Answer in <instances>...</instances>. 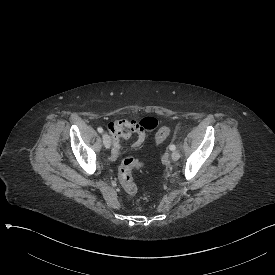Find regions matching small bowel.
<instances>
[{"instance_id": "c3829d8e", "label": "small bowel", "mask_w": 275, "mask_h": 275, "mask_svg": "<svg viewBox=\"0 0 275 275\" xmlns=\"http://www.w3.org/2000/svg\"><path fill=\"white\" fill-rule=\"evenodd\" d=\"M162 125L159 117H142L139 124L134 119L116 118L107 125V130L113 136V146L111 150V159L116 160L120 155V139L131 140L134 134L138 135L134 145L141 146L145 141V133L151 132Z\"/></svg>"}]
</instances>
